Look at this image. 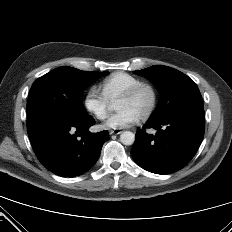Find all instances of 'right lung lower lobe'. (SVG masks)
I'll return each instance as SVG.
<instances>
[{
	"instance_id": "right-lung-lower-lobe-1",
	"label": "right lung lower lobe",
	"mask_w": 232,
	"mask_h": 232,
	"mask_svg": "<svg viewBox=\"0 0 232 232\" xmlns=\"http://www.w3.org/2000/svg\"><path fill=\"white\" fill-rule=\"evenodd\" d=\"M94 123L89 115L37 111L28 115L27 131L37 158L46 168L62 177H74L96 163L109 138L106 130L89 133Z\"/></svg>"
}]
</instances>
